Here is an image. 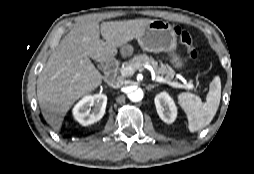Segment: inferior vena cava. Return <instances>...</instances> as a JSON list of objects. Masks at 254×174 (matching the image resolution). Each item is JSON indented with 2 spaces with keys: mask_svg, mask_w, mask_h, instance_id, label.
I'll use <instances>...</instances> for the list:
<instances>
[{
  "mask_svg": "<svg viewBox=\"0 0 254 174\" xmlns=\"http://www.w3.org/2000/svg\"><path fill=\"white\" fill-rule=\"evenodd\" d=\"M124 82L121 79H117V80H113L112 82H110V87L114 88V89H118L121 88L123 86Z\"/></svg>",
  "mask_w": 254,
  "mask_h": 174,
  "instance_id": "obj_1",
  "label": "inferior vena cava"
}]
</instances>
